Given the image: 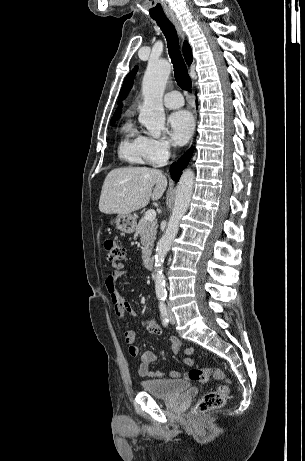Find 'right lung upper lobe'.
I'll list each match as a JSON object with an SVG mask.
<instances>
[{"label":"right lung upper lobe","instance_id":"obj_1","mask_svg":"<svg viewBox=\"0 0 305 461\" xmlns=\"http://www.w3.org/2000/svg\"><path fill=\"white\" fill-rule=\"evenodd\" d=\"M183 54H184V58H185L187 64L190 65L192 63L193 58H192L191 48H190V46H189V44L187 42H184V44H183ZM121 106L122 105L120 104L119 107L117 108V110L115 111L114 116L111 119V122L116 121V120H118L120 118V115H121V112H122Z\"/></svg>","mask_w":305,"mask_h":461}]
</instances>
